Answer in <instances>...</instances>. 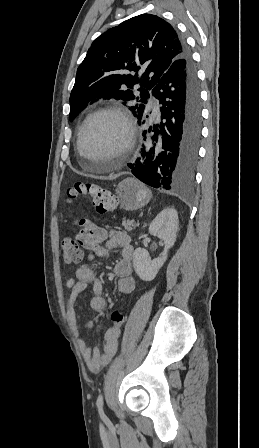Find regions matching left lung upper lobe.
Segmentation results:
<instances>
[{
	"label": "left lung upper lobe",
	"instance_id": "5c2ea615",
	"mask_svg": "<svg viewBox=\"0 0 259 448\" xmlns=\"http://www.w3.org/2000/svg\"><path fill=\"white\" fill-rule=\"evenodd\" d=\"M183 53L182 39L159 16L141 14L99 36L77 69L70 95L74 117L96 99L134 101L129 107L135 117L147 113L149 91ZM140 85V96L131 89Z\"/></svg>",
	"mask_w": 259,
	"mask_h": 448
}]
</instances>
